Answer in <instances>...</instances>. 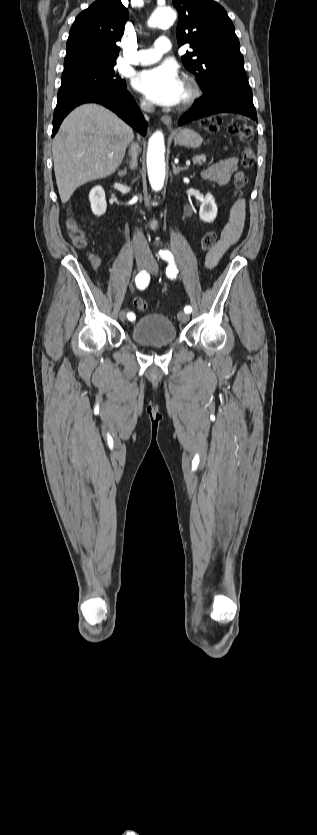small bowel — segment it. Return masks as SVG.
Listing matches in <instances>:
<instances>
[{
    "label": "small bowel",
    "mask_w": 317,
    "mask_h": 835,
    "mask_svg": "<svg viewBox=\"0 0 317 835\" xmlns=\"http://www.w3.org/2000/svg\"><path fill=\"white\" fill-rule=\"evenodd\" d=\"M237 168V157L220 159L206 167L202 172V177L205 180L214 182L218 185H226L229 182L232 173L236 171ZM244 221V206L239 203L233 207L230 220L222 232L221 239L206 254L204 258V265L206 268L211 269L215 267L225 252L237 242L242 234ZM99 262V258H95L93 260V264L95 266H97Z\"/></svg>",
    "instance_id": "c3829d8e"
}]
</instances>
